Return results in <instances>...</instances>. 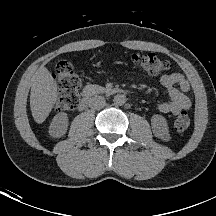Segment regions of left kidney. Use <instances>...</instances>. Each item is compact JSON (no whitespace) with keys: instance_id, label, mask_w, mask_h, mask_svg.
Wrapping results in <instances>:
<instances>
[{"instance_id":"5707ae66","label":"left kidney","mask_w":216,"mask_h":216,"mask_svg":"<svg viewBox=\"0 0 216 216\" xmlns=\"http://www.w3.org/2000/svg\"><path fill=\"white\" fill-rule=\"evenodd\" d=\"M151 126L153 133L156 137L162 140L169 139V129L166 119L158 114H155L151 117Z\"/></svg>"}]
</instances>
